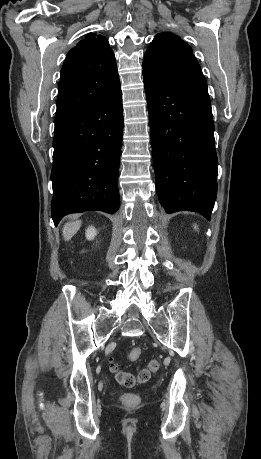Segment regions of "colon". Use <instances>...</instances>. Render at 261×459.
<instances>
[{
  "label": "colon",
  "instance_id": "colon-1",
  "mask_svg": "<svg viewBox=\"0 0 261 459\" xmlns=\"http://www.w3.org/2000/svg\"><path fill=\"white\" fill-rule=\"evenodd\" d=\"M142 350L138 347L132 348L128 353V359L130 361H136L140 358ZM159 362L157 360H151L147 366L140 370L137 374H134L130 371L121 370L118 364L114 361H109V369L113 374L116 382L124 387H134L137 384H142L147 382L151 375L158 371ZM122 400L126 404H133L136 402V396L133 394H124Z\"/></svg>",
  "mask_w": 261,
  "mask_h": 459
}]
</instances>
